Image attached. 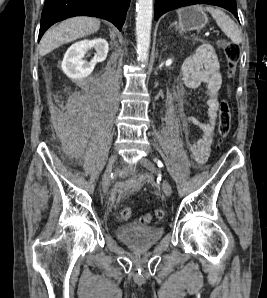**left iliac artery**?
<instances>
[{"mask_svg": "<svg viewBox=\"0 0 267 298\" xmlns=\"http://www.w3.org/2000/svg\"><path fill=\"white\" fill-rule=\"evenodd\" d=\"M153 160H154V162L157 163V165H158L159 168H162L163 167V163L160 160H158L157 158H154Z\"/></svg>", "mask_w": 267, "mask_h": 298, "instance_id": "obj_1", "label": "left iliac artery"}]
</instances>
